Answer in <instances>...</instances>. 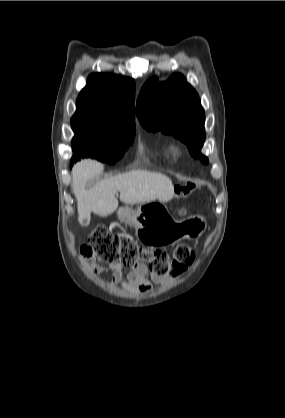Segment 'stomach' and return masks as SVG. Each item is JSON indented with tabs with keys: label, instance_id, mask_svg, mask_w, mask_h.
Listing matches in <instances>:
<instances>
[{
	"label": "stomach",
	"instance_id": "stomach-1",
	"mask_svg": "<svg viewBox=\"0 0 285 418\" xmlns=\"http://www.w3.org/2000/svg\"><path fill=\"white\" fill-rule=\"evenodd\" d=\"M151 205H143L137 210L125 206L117 212L120 221L134 227L137 238L146 245L173 244L181 239L197 238L205 230V219L201 216L176 221L161 209H150Z\"/></svg>",
	"mask_w": 285,
	"mask_h": 418
}]
</instances>
